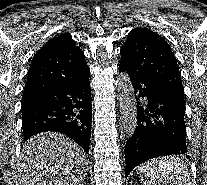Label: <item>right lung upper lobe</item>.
<instances>
[{
    "label": "right lung upper lobe",
    "instance_id": "cb5924a9",
    "mask_svg": "<svg viewBox=\"0 0 207 185\" xmlns=\"http://www.w3.org/2000/svg\"><path fill=\"white\" fill-rule=\"evenodd\" d=\"M89 72L85 56L72 36L54 37L33 57L22 103L50 93L67 82L79 80Z\"/></svg>",
    "mask_w": 207,
    "mask_h": 185
}]
</instances>
